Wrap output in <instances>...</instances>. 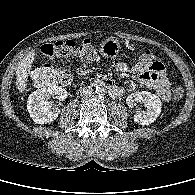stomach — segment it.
I'll return each mask as SVG.
<instances>
[{"instance_id":"obj_1","label":"stomach","mask_w":195,"mask_h":195,"mask_svg":"<svg viewBox=\"0 0 195 195\" xmlns=\"http://www.w3.org/2000/svg\"><path fill=\"white\" fill-rule=\"evenodd\" d=\"M121 46L119 42L114 38L106 39L100 48V53L107 58H116L119 54Z\"/></svg>"}]
</instances>
